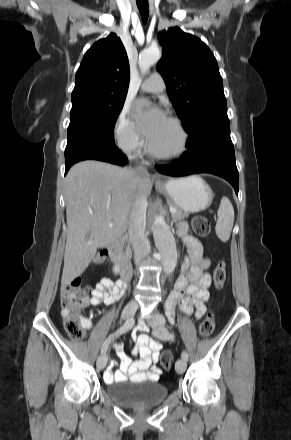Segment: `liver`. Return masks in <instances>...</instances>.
Segmentation results:
<instances>
[{"mask_svg":"<svg viewBox=\"0 0 291 440\" xmlns=\"http://www.w3.org/2000/svg\"><path fill=\"white\" fill-rule=\"evenodd\" d=\"M148 174L87 160L71 167L65 178L67 237L62 287L79 277L97 249L122 238L137 199L151 194ZM113 223V227H109Z\"/></svg>","mask_w":291,"mask_h":440,"instance_id":"1","label":"liver"}]
</instances>
